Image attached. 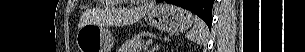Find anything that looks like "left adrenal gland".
Listing matches in <instances>:
<instances>
[{
  "mask_svg": "<svg viewBox=\"0 0 305 52\" xmlns=\"http://www.w3.org/2000/svg\"><path fill=\"white\" fill-rule=\"evenodd\" d=\"M159 50V45H155L154 47L151 48L150 52H157Z\"/></svg>",
  "mask_w": 305,
  "mask_h": 52,
  "instance_id": "a2214340",
  "label": "left adrenal gland"
}]
</instances>
